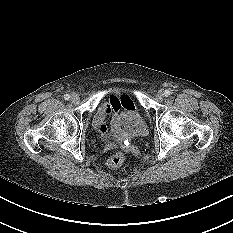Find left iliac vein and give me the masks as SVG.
<instances>
[{
    "mask_svg": "<svg viewBox=\"0 0 233 233\" xmlns=\"http://www.w3.org/2000/svg\"><path fill=\"white\" fill-rule=\"evenodd\" d=\"M156 98L160 99V100L163 99L164 98V92L162 90L158 91L156 93Z\"/></svg>",
    "mask_w": 233,
    "mask_h": 233,
    "instance_id": "1",
    "label": "left iliac vein"
}]
</instances>
